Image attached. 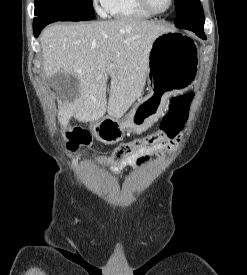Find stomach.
<instances>
[{
  "label": "stomach",
  "instance_id": "0dacf381",
  "mask_svg": "<svg viewBox=\"0 0 247 275\" xmlns=\"http://www.w3.org/2000/svg\"><path fill=\"white\" fill-rule=\"evenodd\" d=\"M197 66L191 39L175 31L159 35L148 54V95L133 106L124 120L104 119L93 124L96 138L112 144L123 138L125 130L139 133L148 129L163 114L171 95L192 87Z\"/></svg>",
  "mask_w": 247,
  "mask_h": 275
}]
</instances>
